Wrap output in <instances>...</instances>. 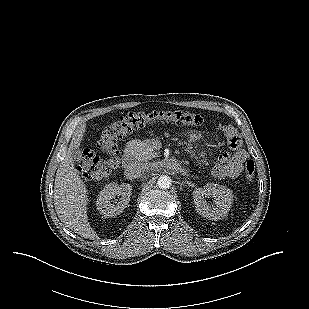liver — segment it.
Listing matches in <instances>:
<instances>
[{"label":"liver","instance_id":"liver-1","mask_svg":"<svg viewBox=\"0 0 309 309\" xmlns=\"http://www.w3.org/2000/svg\"><path fill=\"white\" fill-rule=\"evenodd\" d=\"M85 128L86 125L81 124L75 131L67 154L56 172L54 206L59 219L68 228L84 238L95 240L98 236L90 226L87 216V189L71 158L72 149L81 144Z\"/></svg>","mask_w":309,"mask_h":309}]
</instances>
